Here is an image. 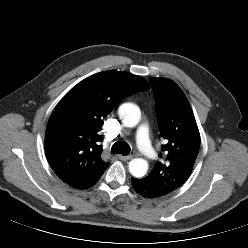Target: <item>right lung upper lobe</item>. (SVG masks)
I'll list each match as a JSON object with an SVG mask.
<instances>
[{
  "label": "right lung upper lobe",
  "instance_id": "obj_1",
  "mask_svg": "<svg viewBox=\"0 0 248 248\" xmlns=\"http://www.w3.org/2000/svg\"><path fill=\"white\" fill-rule=\"evenodd\" d=\"M147 89L140 76L110 70L82 80L60 100L47 124L45 153L62 181L76 189L96 184L109 165L101 159L103 119L123 98Z\"/></svg>",
  "mask_w": 248,
  "mask_h": 248
}]
</instances>
